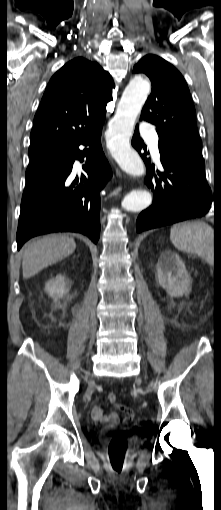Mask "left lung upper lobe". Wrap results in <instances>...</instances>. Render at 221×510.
<instances>
[{
  "label": "left lung upper lobe",
  "mask_w": 221,
  "mask_h": 510,
  "mask_svg": "<svg viewBox=\"0 0 221 510\" xmlns=\"http://www.w3.org/2000/svg\"><path fill=\"white\" fill-rule=\"evenodd\" d=\"M133 72L146 74L152 82V91L142 109L141 120L157 127L159 148L205 166L195 107L180 72L152 54L143 57L134 66Z\"/></svg>",
  "instance_id": "left-lung-upper-lobe-1"
}]
</instances>
